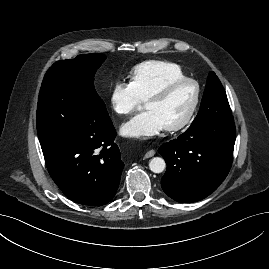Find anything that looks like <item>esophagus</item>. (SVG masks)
<instances>
[{"mask_svg":"<svg viewBox=\"0 0 269 269\" xmlns=\"http://www.w3.org/2000/svg\"><path fill=\"white\" fill-rule=\"evenodd\" d=\"M154 154H155V151H154V150H149V151L145 154L144 158H150V157L154 156Z\"/></svg>","mask_w":269,"mask_h":269,"instance_id":"34e87169","label":"esophagus"}]
</instances>
